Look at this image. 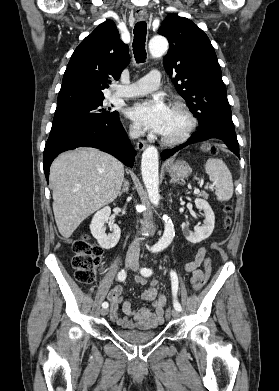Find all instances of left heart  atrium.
Returning a JSON list of instances; mask_svg holds the SVG:
<instances>
[{"label":"left heart atrium","instance_id":"39dd6f15","mask_svg":"<svg viewBox=\"0 0 279 391\" xmlns=\"http://www.w3.org/2000/svg\"><path fill=\"white\" fill-rule=\"evenodd\" d=\"M169 110L162 98L155 97L133 104L127 110V116L147 129L162 133Z\"/></svg>","mask_w":279,"mask_h":391}]
</instances>
